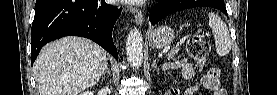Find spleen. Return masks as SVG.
I'll return each mask as SVG.
<instances>
[{
	"label": "spleen",
	"instance_id": "obj_1",
	"mask_svg": "<svg viewBox=\"0 0 277 95\" xmlns=\"http://www.w3.org/2000/svg\"><path fill=\"white\" fill-rule=\"evenodd\" d=\"M208 17L209 26L215 38L216 52L219 56H225L230 52L232 45L229 30L217 14L211 12Z\"/></svg>",
	"mask_w": 277,
	"mask_h": 95
}]
</instances>
